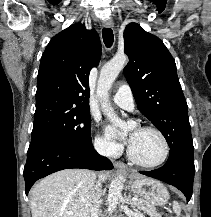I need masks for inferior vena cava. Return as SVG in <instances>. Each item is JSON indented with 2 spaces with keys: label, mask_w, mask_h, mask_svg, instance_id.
I'll return each instance as SVG.
<instances>
[{
  "label": "inferior vena cava",
  "mask_w": 211,
  "mask_h": 217,
  "mask_svg": "<svg viewBox=\"0 0 211 217\" xmlns=\"http://www.w3.org/2000/svg\"><path fill=\"white\" fill-rule=\"evenodd\" d=\"M109 146L107 144H99L96 146V150L106 156L109 153ZM100 197H101V180H99L94 186V190L91 197V209L89 217H99L100 208Z\"/></svg>",
  "instance_id": "inferior-vena-cava-1"
}]
</instances>
